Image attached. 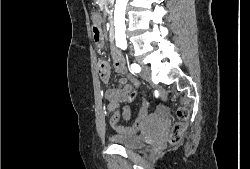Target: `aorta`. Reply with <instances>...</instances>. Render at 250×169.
<instances>
[{
  "label": "aorta",
  "mask_w": 250,
  "mask_h": 169,
  "mask_svg": "<svg viewBox=\"0 0 250 169\" xmlns=\"http://www.w3.org/2000/svg\"><path fill=\"white\" fill-rule=\"evenodd\" d=\"M128 0H116L114 10L115 36L119 42H123L125 36V10Z\"/></svg>",
  "instance_id": "1"
}]
</instances>
